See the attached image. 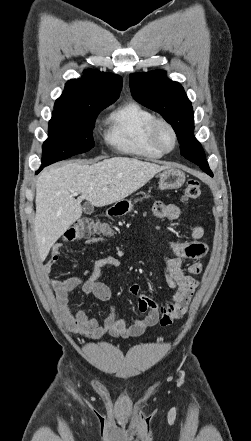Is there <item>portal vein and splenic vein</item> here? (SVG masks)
<instances>
[{
	"label": "portal vein and splenic vein",
	"instance_id": "obj_1",
	"mask_svg": "<svg viewBox=\"0 0 251 441\" xmlns=\"http://www.w3.org/2000/svg\"><path fill=\"white\" fill-rule=\"evenodd\" d=\"M103 189L106 190L107 188L104 187ZM78 195H79V192H73V196H78Z\"/></svg>",
	"mask_w": 251,
	"mask_h": 441
}]
</instances>
